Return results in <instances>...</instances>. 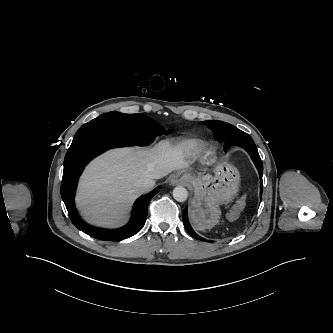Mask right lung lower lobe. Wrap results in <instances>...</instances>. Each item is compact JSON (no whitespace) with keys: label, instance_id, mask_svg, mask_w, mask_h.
Here are the masks:
<instances>
[{"label":"right lung lower lobe","instance_id":"1","mask_svg":"<svg viewBox=\"0 0 333 333\" xmlns=\"http://www.w3.org/2000/svg\"><path fill=\"white\" fill-rule=\"evenodd\" d=\"M130 142L104 132H90L74 138L64 159V171L61 184V196L68 210L72 223L84 233L93 238L106 241H120L136 234L147 218L148 203L159 191L155 188L150 193L141 196L135 203L130 222L117 230H106L91 227L83 223L76 211L74 196L78 178L85 165L103 151L119 146H131Z\"/></svg>","mask_w":333,"mask_h":333}]
</instances>
